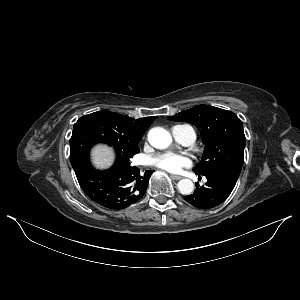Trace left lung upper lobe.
<instances>
[{
	"label": "left lung upper lobe",
	"mask_w": 300,
	"mask_h": 300,
	"mask_svg": "<svg viewBox=\"0 0 300 300\" xmlns=\"http://www.w3.org/2000/svg\"><path fill=\"white\" fill-rule=\"evenodd\" d=\"M172 121H183L200 127L205 144L202 161L193 169L204 175L215 170L240 174L244 161L245 135L241 120L231 111L208 105H198L168 116Z\"/></svg>",
	"instance_id": "left-lung-upper-lobe-1"
}]
</instances>
